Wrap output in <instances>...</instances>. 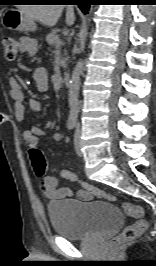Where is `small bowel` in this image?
Returning a JSON list of instances; mask_svg holds the SVG:
<instances>
[{
	"label": "small bowel",
	"mask_w": 156,
	"mask_h": 266,
	"mask_svg": "<svg viewBox=\"0 0 156 266\" xmlns=\"http://www.w3.org/2000/svg\"><path fill=\"white\" fill-rule=\"evenodd\" d=\"M19 50L22 53L28 55H34L37 52V43L33 38L22 37L19 41ZM34 79L39 89H46L48 86V77L46 70L39 68L34 73ZM9 94L14 102V116L17 122L22 123L25 119V96L23 89L19 82L15 78L9 80ZM29 107L34 111L41 110V104L35 99H30L28 101ZM45 134L44 130L40 127L33 126L29 129L23 131V139L27 146L30 148L37 147L39 139ZM54 139L59 141L64 138L63 134L55 133L53 135ZM42 190L44 194L50 199H63L71 197L73 195V190L69 187H60L58 180L55 177L47 176L42 181ZM77 197L80 200L88 201L91 199L90 195L85 190L77 191Z\"/></svg>",
	"instance_id": "1"
}]
</instances>
